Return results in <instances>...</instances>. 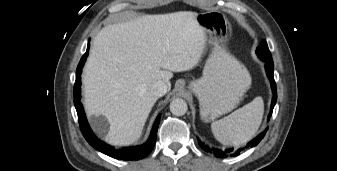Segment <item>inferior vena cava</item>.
Instances as JSON below:
<instances>
[{
	"label": "inferior vena cava",
	"instance_id": "obj_1",
	"mask_svg": "<svg viewBox=\"0 0 337 171\" xmlns=\"http://www.w3.org/2000/svg\"><path fill=\"white\" fill-rule=\"evenodd\" d=\"M168 91V86L165 82L163 81H157L152 85L151 92L156 96V97H162L164 96Z\"/></svg>",
	"mask_w": 337,
	"mask_h": 171
}]
</instances>
